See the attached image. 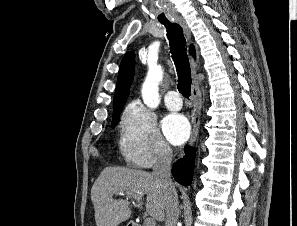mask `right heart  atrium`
Listing matches in <instances>:
<instances>
[{
  "instance_id": "1",
  "label": "right heart atrium",
  "mask_w": 297,
  "mask_h": 226,
  "mask_svg": "<svg viewBox=\"0 0 297 226\" xmlns=\"http://www.w3.org/2000/svg\"><path fill=\"white\" fill-rule=\"evenodd\" d=\"M119 146L126 161L141 168L167 161L172 155L154 114L138 101L123 112Z\"/></svg>"
}]
</instances>
